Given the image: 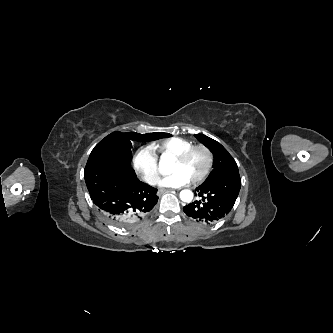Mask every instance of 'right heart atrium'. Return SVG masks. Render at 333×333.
Here are the masks:
<instances>
[{
    "label": "right heart atrium",
    "instance_id": "obj_1",
    "mask_svg": "<svg viewBox=\"0 0 333 333\" xmlns=\"http://www.w3.org/2000/svg\"><path fill=\"white\" fill-rule=\"evenodd\" d=\"M133 167L139 177L149 185L159 182L158 159L150 146L139 148L133 157Z\"/></svg>",
    "mask_w": 333,
    "mask_h": 333
}]
</instances>
